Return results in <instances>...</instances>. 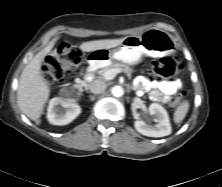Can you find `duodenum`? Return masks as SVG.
Instances as JSON below:
<instances>
[{"instance_id":"obj_1","label":"duodenum","mask_w":222,"mask_h":187,"mask_svg":"<svg viewBox=\"0 0 222 187\" xmlns=\"http://www.w3.org/2000/svg\"><path fill=\"white\" fill-rule=\"evenodd\" d=\"M94 70H95V62H91L85 71L84 80L80 84L81 87H85L86 83L92 80L94 75Z\"/></svg>"}]
</instances>
